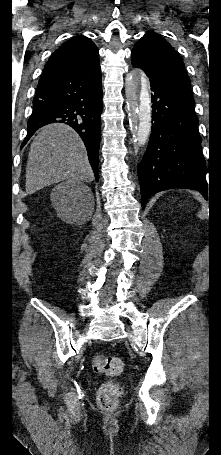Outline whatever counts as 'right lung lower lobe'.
Returning <instances> with one entry per match:
<instances>
[{"mask_svg": "<svg viewBox=\"0 0 221 455\" xmlns=\"http://www.w3.org/2000/svg\"><path fill=\"white\" fill-rule=\"evenodd\" d=\"M102 109L99 54L88 55L41 77L23 145L42 126L65 123L82 138L98 180Z\"/></svg>", "mask_w": 221, "mask_h": 455, "instance_id": "98d812e1", "label": "right lung lower lobe"}]
</instances>
